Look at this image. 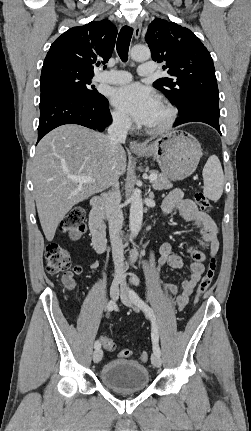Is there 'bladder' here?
<instances>
[{"label": "bladder", "mask_w": 251, "mask_h": 431, "mask_svg": "<svg viewBox=\"0 0 251 431\" xmlns=\"http://www.w3.org/2000/svg\"><path fill=\"white\" fill-rule=\"evenodd\" d=\"M101 382L119 393H133L145 389L150 381V373L143 364L126 359L112 360L100 370Z\"/></svg>", "instance_id": "31cf9c89"}]
</instances>
